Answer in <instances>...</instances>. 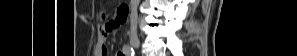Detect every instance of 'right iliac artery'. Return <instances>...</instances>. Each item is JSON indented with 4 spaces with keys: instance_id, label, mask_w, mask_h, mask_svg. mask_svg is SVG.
Returning <instances> with one entry per match:
<instances>
[{
    "instance_id": "right-iliac-artery-1",
    "label": "right iliac artery",
    "mask_w": 297,
    "mask_h": 56,
    "mask_svg": "<svg viewBox=\"0 0 297 56\" xmlns=\"http://www.w3.org/2000/svg\"><path fill=\"white\" fill-rule=\"evenodd\" d=\"M123 52L128 55V56H133L134 55V50L131 46L129 45H124L123 46Z\"/></svg>"
}]
</instances>
